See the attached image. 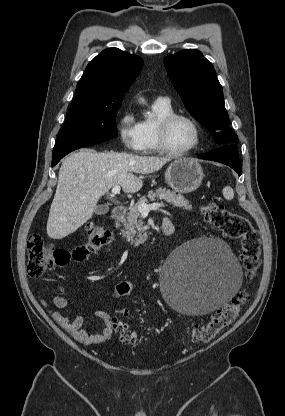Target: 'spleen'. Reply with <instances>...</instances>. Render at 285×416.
I'll use <instances>...</instances> for the list:
<instances>
[{
	"mask_svg": "<svg viewBox=\"0 0 285 416\" xmlns=\"http://www.w3.org/2000/svg\"><path fill=\"white\" fill-rule=\"evenodd\" d=\"M222 192L225 200H233L234 192L232 188H230V186H226V188H223Z\"/></svg>",
	"mask_w": 285,
	"mask_h": 416,
	"instance_id": "spleen-1",
	"label": "spleen"
}]
</instances>
